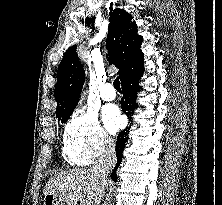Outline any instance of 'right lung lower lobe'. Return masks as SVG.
I'll return each instance as SVG.
<instances>
[{
    "mask_svg": "<svg viewBox=\"0 0 222 205\" xmlns=\"http://www.w3.org/2000/svg\"><path fill=\"white\" fill-rule=\"evenodd\" d=\"M142 73H143V68L137 71L136 73L128 76L123 81H121L122 91H123V97L121 99L122 111L130 118V121L133 111L137 107L135 99L137 97L136 93L140 91L138 82L140 77L142 76ZM128 132L129 130L126 128L122 132H120L117 137V142H116L117 163L113 172L110 175L112 180L114 181L117 180L116 169L119 167V164L122 161V152L128 140Z\"/></svg>",
    "mask_w": 222,
    "mask_h": 205,
    "instance_id": "obj_1",
    "label": "right lung lower lobe"
}]
</instances>
